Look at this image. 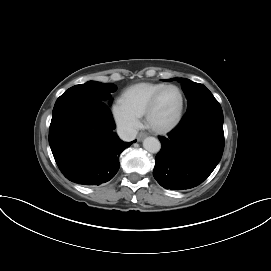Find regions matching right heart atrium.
I'll list each match as a JSON object with an SVG mask.
<instances>
[{
	"label": "right heart atrium",
	"instance_id": "d8ad5b80",
	"mask_svg": "<svg viewBox=\"0 0 271 271\" xmlns=\"http://www.w3.org/2000/svg\"><path fill=\"white\" fill-rule=\"evenodd\" d=\"M112 115L118 128L127 136L134 135L140 127V118L130 112L120 100L114 103Z\"/></svg>",
	"mask_w": 271,
	"mask_h": 271
}]
</instances>
